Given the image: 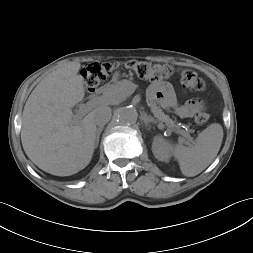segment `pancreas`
<instances>
[{"instance_id":"pancreas-1","label":"pancreas","mask_w":253,"mask_h":253,"mask_svg":"<svg viewBox=\"0 0 253 253\" xmlns=\"http://www.w3.org/2000/svg\"><path fill=\"white\" fill-rule=\"evenodd\" d=\"M133 93V89L130 87V82L119 81L116 84L106 86L104 88L103 96L110 103H119L124 101ZM151 112L158 119L159 122L165 123L170 131L179 132L180 134L184 131L180 130V127L173 121L168 115H165L160 106L156 103L152 104Z\"/></svg>"}]
</instances>
